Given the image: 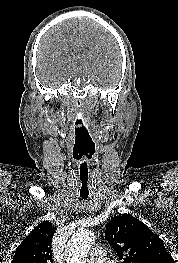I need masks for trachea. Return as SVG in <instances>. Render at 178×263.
I'll use <instances>...</instances> for the list:
<instances>
[{
  "instance_id": "1",
  "label": "trachea",
  "mask_w": 178,
  "mask_h": 263,
  "mask_svg": "<svg viewBox=\"0 0 178 263\" xmlns=\"http://www.w3.org/2000/svg\"><path fill=\"white\" fill-rule=\"evenodd\" d=\"M89 170L85 167L79 168V192L82 199H87L89 196Z\"/></svg>"
}]
</instances>
